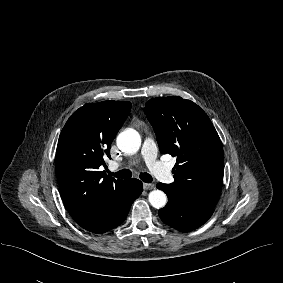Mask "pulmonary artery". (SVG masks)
<instances>
[{
    "mask_svg": "<svg viewBox=\"0 0 283 283\" xmlns=\"http://www.w3.org/2000/svg\"><path fill=\"white\" fill-rule=\"evenodd\" d=\"M141 157L146 162L150 171L161 181L170 182L172 180V173L168 166L163 164L157 159V147L154 140L151 137H146L143 141L141 148ZM135 161H129L127 163L113 162V168H119L124 165H132Z\"/></svg>",
    "mask_w": 283,
    "mask_h": 283,
    "instance_id": "obj_1",
    "label": "pulmonary artery"
}]
</instances>
